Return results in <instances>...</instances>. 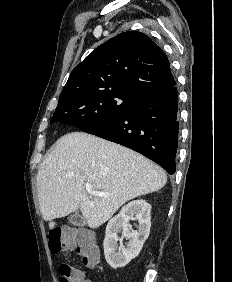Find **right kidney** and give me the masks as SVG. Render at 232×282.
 Segmentation results:
<instances>
[{
	"instance_id": "ca27d5eb",
	"label": "right kidney",
	"mask_w": 232,
	"mask_h": 282,
	"mask_svg": "<svg viewBox=\"0 0 232 282\" xmlns=\"http://www.w3.org/2000/svg\"><path fill=\"white\" fill-rule=\"evenodd\" d=\"M135 216L139 223L137 231H132L129 220ZM151 227V205L145 200H134L123 206L120 212L107 224L104 239V255L107 263L113 268L126 266L141 251L149 236ZM129 240L126 247L122 246V239L118 233ZM120 241V247H118Z\"/></svg>"
}]
</instances>
